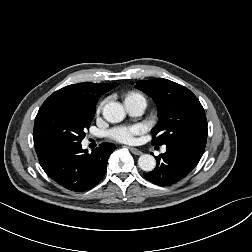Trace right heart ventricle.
Listing matches in <instances>:
<instances>
[{"label":"right heart ventricle","mask_w":252,"mask_h":252,"mask_svg":"<svg viewBox=\"0 0 252 252\" xmlns=\"http://www.w3.org/2000/svg\"><path fill=\"white\" fill-rule=\"evenodd\" d=\"M141 96L140 94H130V95H128L127 97H129V96Z\"/></svg>","instance_id":"e07e8e85"}]
</instances>
